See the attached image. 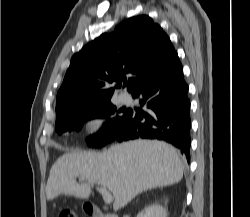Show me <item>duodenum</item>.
Instances as JSON below:
<instances>
[{
	"label": "duodenum",
	"instance_id": "obj_1",
	"mask_svg": "<svg viewBox=\"0 0 250 217\" xmlns=\"http://www.w3.org/2000/svg\"><path fill=\"white\" fill-rule=\"evenodd\" d=\"M85 211L90 217H118L110 213H105L98 206L90 203L85 205Z\"/></svg>",
	"mask_w": 250,
	"mask_h": 217
}]
</instances>
